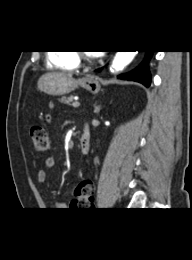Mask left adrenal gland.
I'll return each instance as SVG.
<instances>
[{
  "mask_svg": "<svg viewBox=\"0 0 192 260\" xmlns=\"http://www.w3.org/2000/svg\"><path fill=\"white\" fill-rule=\"evenodd\" d=\"M100 109H101L100 106H98V105H96V104L94 105V112H95V113L98 114V113L100 112Z\"/></svg>",
  "mask_w": 192,
  "mask_h": 260,
  "instance_id": "1",
  "label": "left adrenal gland"
}]
</instances>
